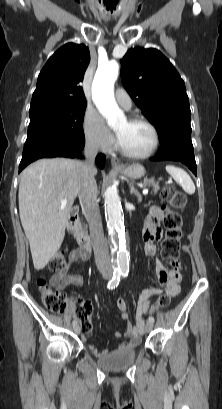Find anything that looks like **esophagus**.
<instances>
[{"label": "esophagus", "instance_id": "obj_1", "mask_svg": "<svg viewBox=\"0 0 222 409\" xmlns=\"http://www.w3.org/2000/svg\"><path fill=\"white\" fill-rule=\"evenodd\" d=\"M111 165L114 168H119L120 167V160L117 157H112L111 158Z\"/></svg>", "mask_w": 222, "mask_h": 409}]
</instances>
